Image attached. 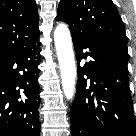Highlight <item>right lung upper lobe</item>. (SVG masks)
I'll return each mask as SVG.
<instances>
[{"instance_id":"obj_1","label":"right lung upper lobe","mask_w":136,"mask_h":136,"mask_svg":"<svg viewBox=\"0 0 136 136\" xmlns=\"http://www.w3.org/2000/svg\"><path fill=\"white\" fill-rule=\"evenodd\" d=\"M34 0H0V55L14 52L39 37Z\"/></svg>"}]
</instances>
